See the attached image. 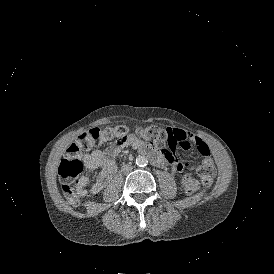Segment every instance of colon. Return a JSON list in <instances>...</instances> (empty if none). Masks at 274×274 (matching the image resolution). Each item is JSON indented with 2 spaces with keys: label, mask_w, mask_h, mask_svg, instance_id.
Wrapping results in <instances>:
<instances>
[{
  "label": "colon",
  "mask_w": 274,
  "mask_h": 274,
  "mask_svg": "<svg viewBox=\"0 0 274 274\" xmlns=\"http://www.w3.org/2000/svg\"><path fill=\"white\" fill-rule=\"evenodd\" d=\"M168 127L150 126L138 129L139 136L150 144L166 146V141L170 140L167 133ZM101 132L100 129H95ZM105 136L111 142L123 143L126 139L127 129L124 126L107 128L103 130ZM100 135L80 134L76 141L72 142L58 165V172L62 179V190L67 201L72 205H77L81 197V185L77 182L83 172V164L80 157L82 149H99ZM200 181L194 175H184V186L190 193L198 189Z\"/></svg>",
  "instance_id": "1"
}]
</instances>
